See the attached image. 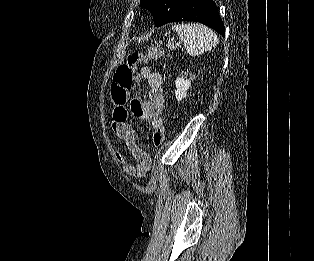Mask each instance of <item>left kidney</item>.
Segmentation results:
<instances>
[{"label":"left kidney","instance_id":"obj_1","mask_svg":"<svg viewBox=\"0 0 314 261\" xmlns=\"http://www.w3.org/2000/svg\"><path fill=\"white\" fill-rule=\"evenodd\" d=\"M195 79V75H191L189 79H187V75L185 73V77L182 75L181 77L177 78L175 81L176 90H175V97L178 101L184 99L187 95V91L191 86V81Z\"/></svg>","mask_w":314,"mask_h":261}]
</instances>
